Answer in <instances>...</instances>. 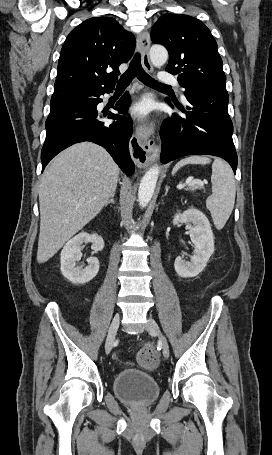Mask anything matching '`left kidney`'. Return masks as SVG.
Masks as SVG:
<instances>
[{"instance_id": "1", "label": "left kidney", "mask_w": 272, "mask_h": 455, "mask_svg": "<svg viewBox=\"0 0 272 455\" xmlns=\"http://www.w3.org/2000/svg\"><path fill=\"white\" fill-rule=\"evenodd\" d=\"M185 223L190 238L195 245L194 255L187 262L183 257L175 259L174 268L178 276L190 278L197 276L205 268L214 252V236L207 217L196 208H189L174 216L173 224Z\"/></svg>"}]
</instances>
